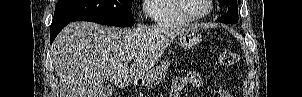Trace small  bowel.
Listing matches in <instances>:
<instances>
[{"mask_svg":"<svg viewBox=\"0 0 302 97\" xmlns=\"http://www.w3.org/2000/svg\"><path fill=\"white\" fill-rule=\"evenodd\" d=\"M202 83L203 78L199 72H188L173 80L169 97H180L184 87L187 84H191L192 86L199 88ZM217 97H230V95L224 90L223 86L220 83L218 85Z\"/></svg>","mask_w":302,"mask_h":97,"instance_id":"c3829d8e","label":"small bowel"}]
</instances>
